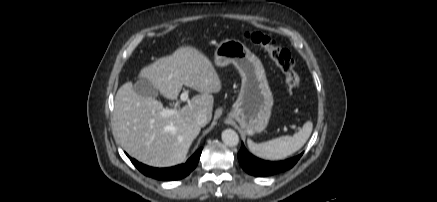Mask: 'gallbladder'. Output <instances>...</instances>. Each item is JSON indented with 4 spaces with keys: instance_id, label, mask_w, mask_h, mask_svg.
<instances>
[{
    "instance_id": "obj_1",
    "label": "gallbladder",
    "mask_w": 437,
    "mask_h": 202,
    "mask_svg": "<svg viewBox=\"0 0 437 202\" xmlns=\"http://www.w3.org/2000/svg\"><path fill=\"white\" fill-rule=\"evenodd\" d=\"M133 90L141 96L144 97H156L158 90L153 86V84L147 79H140L133 85Z\"/></svg>"
}]
</instances>
